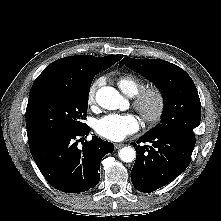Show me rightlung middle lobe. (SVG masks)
Here are the masks:
<instances>
[{"label":"right lung middle lobe","mask_w":221,"mask_h":221,"mask_svg":"<svg viewBox=\"0 0 221 221\" xmlns=\"http://www.w3.org/2000/svg\"><path fill=\"white\" fill-rule=\"evenodd\" d=\"M100 67L93 76L81 84L43 79L35 81L26 109V128L29 142L57 134L73 133L85 129L88 96L96 74L109 68Z\"/></svg>","instance_id":"obj_1"}]
</instances>
